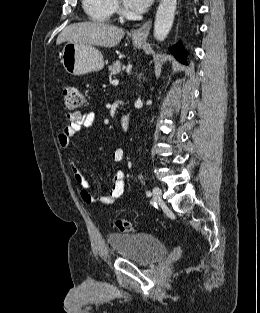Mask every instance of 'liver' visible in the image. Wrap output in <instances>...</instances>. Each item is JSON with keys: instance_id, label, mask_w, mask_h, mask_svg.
I'll list each match as a JSON object with an SVG mask.
<instances>
[{"instance_id": "1", "label": "liver", "mask_w": 260, "mask_h": 313, "mask_svg": "<svg viewBox=\"0 0 260 313\" xmlns=\"http://www.w3.org/2000/svg\"><path fill=\"white\" fill-rule=\"evenodd\" d=\"M124 35L122 28L104 22H80L67 26L59 34L56 44L60 45L65 41H70L111 48L118 45Z\"/></svg>"}]
</instances>
